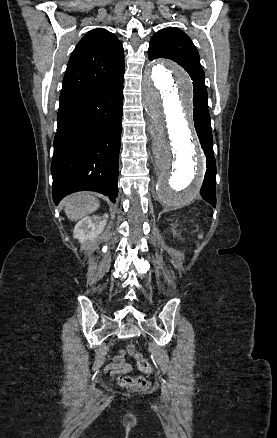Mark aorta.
<instances>
[{"label":"aorta","mask_w":277,"mask_h":438,"mask_svg":"<svg viewBox=\"0 0 277 438\" xmlns=\"http://www.w3.org/2000/svg\"><path fill=\"white\" fill-rule=\"evenodd\" d=\"M141 92L160 170L158 198L167 206H184L198 195L205 173L192 121V81L180 67L160 61L145 71Z\"/></svg>","instance_id":"aorta-1"}]
</instances>
